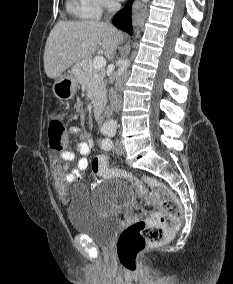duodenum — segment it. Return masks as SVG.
I'll return each mask as SVG.
<instances>
[{
  "instance_id": "410a0bca",
  "label": "duodenum",
  "mask_w": 233,
  "mask_h": 284,
  "mask_svg": "<svg viewBox=\"0 0 233 284\" xmlns=\"http://www.w3.org/2000/svg\"><path fill=\"white\" fill-rule=\"evenodd\" d=\"M103 111H104L103 105L98 104L94 106V109H93L94 116L97 119V121L100 123L103 120ZM102 130H104V128H102Z\"/></svg>"
}]
</instances>
